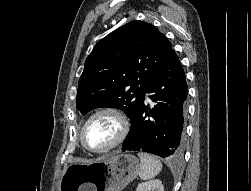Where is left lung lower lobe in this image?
Masks as SVG:
<instances>
[{
	"label": "left lung lower lobe",
	"mask_w": 251,
	"mask_h": 191,
	"mask_svg": "<svg viewBox=\"0 0 251 191\" xmlns=\"http://www.w3.org/2000/svg\"><path fill=\"white\" fill-rule=\"evenodd\" d=\"M146 93L156 105L147 107L143 99L122 151L142 150L161 157L180 156L188 87L174 50L150 82Z\"/></svg>",
	"instance_id": "0a47b994"
}]
</instances>
